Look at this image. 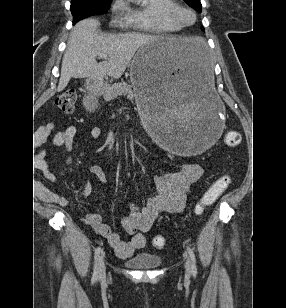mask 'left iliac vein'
<instances>
[{
  "label": "left iliac vein",
  "mask_w": 286,
  "mask_h": 308,
  "mask_svg": "<svg viewBox=\"0 0 286 308\" xmlns=\"http://www.w3.org/2000/svg\"><path fill=\"white\" fill-rule=\"evenodd\" d=\"M184 257H185V270L186 273L189 275L191 273V262L186 254H184Z\"/></svg>",
  "instance_id": "1"
}]
</instances>
